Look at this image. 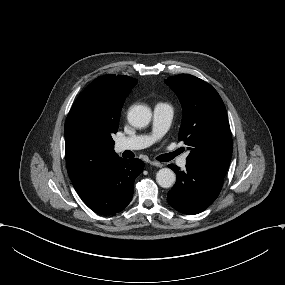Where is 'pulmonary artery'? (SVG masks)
Instances as JSON below:
<instances>
[{
	"instance_id": "e3ab8cb5",
	"label": "pulmonary artery",
	"mask_w": 285,
	"mask_h": 285,
	"mask_svg": "<svg viewBox=\"0 0 285 285\" xmlns=\"http://www.w3.org/2000/svg\"><path fill=\"white\" fill-rule=\"evenodd\" d=\"M175 118V113L172 111V107L168 103H158L154 108V124L153 135H135L131 137H124L117 139L115 142V151L117 153L125 150H135L149 146L154 140L163 135L172 124V120ZM188 153L184 154L178 159V165L185 169L187 165Z\"/></svg>"
}]
</instances>
